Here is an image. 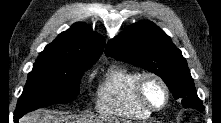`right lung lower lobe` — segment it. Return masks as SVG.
<instances>
[{"instance_id":"right-lung-lower-lobe-1","label":"right lung lower lobe","mask_w":221,"mask_h":123,"mask_svg":"<svg viewBox=\"0 0 221 123\" xmlns=\"http://www.w3.org/2000/svg\"><path fill=\"white\" fill-rule=\"evenodd\" d=\"M24 114L22 113H16L14 114V120H18L20 117H22Z\"/></svg>"}]
</instances>
